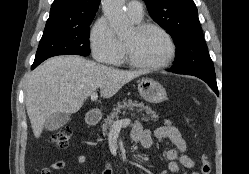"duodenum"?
<instances>
[{
  "instance_id": "410a0bca",
  "label": "duodenum",
  "mask_w": 249,
  "mask_h": 174,
  "mask_svg": "<svg viewBox=\"0 0 249 174\" xmlns=\"http://www.w3.org/2000/svg\"><path fill=\"white\" fill-rule=\"evenodd\" d=\"M86 122L89 126H95L98 123V117L95 112H89L86 116Z\"/></svg>"
}]
</instances>
